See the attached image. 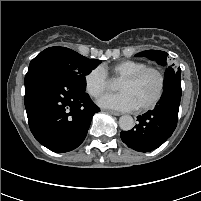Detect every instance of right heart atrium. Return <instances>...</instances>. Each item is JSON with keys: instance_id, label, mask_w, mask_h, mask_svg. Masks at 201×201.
<instances>
[{"instance_id": "1", "label": "right heart atrium", "mask_w": 201, "mask_h": 201, "mask_svg": "<svg viewBox=\"0 0 201 201\" xmlns=\"http://www.w3.org/2000/svg\"><path fill=\"white\" fill-rule=\"evenodd\" d=\"M84 85L92 98H99L108 87V75L101 66H97L85 75Z\"/></svg>"}]
</instances>
